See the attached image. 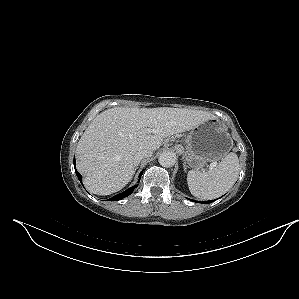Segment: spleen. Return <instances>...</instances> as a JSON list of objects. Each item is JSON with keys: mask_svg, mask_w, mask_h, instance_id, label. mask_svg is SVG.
Masks as SVG:
<instances>
[{"mask_svg": "<svg viewBox=\"0 0 299 299\" xmlns=\"http://www.w3.org/2000/svg\"><path fill=\"white\" fill-rule=\"evenodd\" d=\"M239 160L231 152L209 171L190 170L187 174L191 194L200 199H214L226 193L236 182Z\"/></svg>", "mask_w": 299, "mask_h": 299, "instance_id": "3e777b00", "label": "spleen"}]
</instances>
